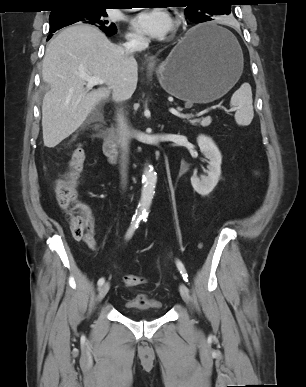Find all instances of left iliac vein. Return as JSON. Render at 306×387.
<instances>
[{"mask_svg": "<svg viewBox=\"0 0 306 387\" xmlns=\"http://www.w3.org/2000/svg\"><path fill=\"white\" fill-rule=\"evenodd\" d=\"M179 292H180V295L182 297V299L187 303L189 304L190 301H191V297H190V294H189V290L187 288V286L185 284H180L179 286Z\"/></svg>", "mask_w": 306, "mask_h": 387, "instance_id": "4c4485c4", "label": "left iliac vein"}]
</instances>
